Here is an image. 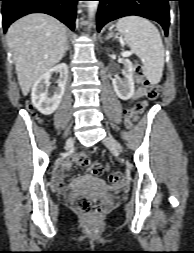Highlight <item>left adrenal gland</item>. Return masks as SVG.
<instances>
[{
    "label": "left adrenal gland",
    "instance_id": "1",
    "mask_svg": "<svg viewBox=\"0 0 194 253\" xmlns=\"http://www.w3.org/2000/svg\"><path fill=\"white\" fill-rule=\"evenodd\" d=\"M113 36H114V34H113L112 30H110V32L107 34V36L105 38H106V40H108Z\"/></svg>",
    "mask_w": 194,
    "mask_h": 253
}]
</instances>
